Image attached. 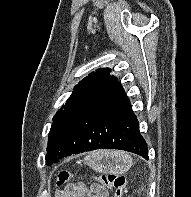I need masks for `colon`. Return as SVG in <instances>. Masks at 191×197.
Here are the masks:
<instances>
[{
  "instance_id": "1",
  "label": "colon",
  "mask_w": 191,
  "mask_h": 197,
  "mask_svg": "<svg viewBox=\"0 0 191 197\" xmlns=\"http://www.w3.org/2000/svg\"><path fill=\"white\" fill-rule=\"evenodd\" d=\"M73 178V174L61 170L56 175V186H63ZM97 181L107 191H113V197H123L125 192L126 179L123 175L116 173H103L97 176Z\"/></svg>"
}]
</instances>
